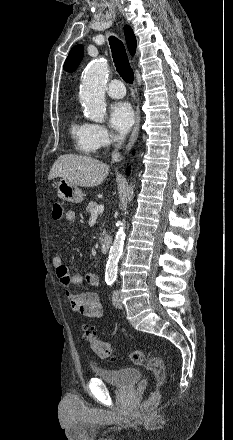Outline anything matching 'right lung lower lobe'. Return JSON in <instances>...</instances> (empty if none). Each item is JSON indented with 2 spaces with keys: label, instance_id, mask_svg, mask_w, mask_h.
<instances>
[{
  "label": "right lung lower lobe",
  "instance_id": "1",
  "mask_svg": "<svg viewBox=\"0 0 233 440\" xmlns=\"http://www.w3.org/2000/svg\"><path fill=\"white\" fill-rule=\"evenodd\" d=\"M126 173L129 174V168L126 170Z\"/></svg>",
  "mask_w": 233,
  "mask_h": 440
}]
</instances>
